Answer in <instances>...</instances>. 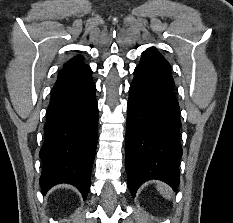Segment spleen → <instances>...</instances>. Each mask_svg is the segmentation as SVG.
Returning a JSON list of instances; mask_svg holds the SVG:
<instances>
[{"label":"spleen","instance_id":"spleen-1","mask_svg":"<svg viewBox=\"0 0 233 223\" xmlns=\"http://www.w3.org/2000/svg\"><path fill=\"white\" fill-rule=\"evenodd\" d=\"M156 187L158 191H160V193L164 195V197H167V199H171V197H173L174 193L171 187H169V185H166V183H162V181H157Z\"/></svg>","mask_w":233,"mask_h":223}]
</instances>
